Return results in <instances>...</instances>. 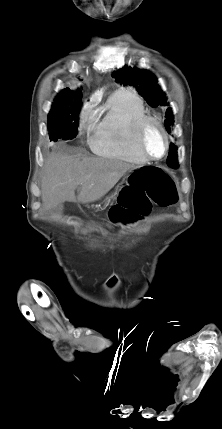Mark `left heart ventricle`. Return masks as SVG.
<instances>
[{"label":"left heart ventricle","instance_id":"left-heart-ventricle-1","mask_svg":"<svg viewBox=\"0 0 222 429\" xmlns=\"http://www.w3.org/2000/svg\"><path fill=\"white\" fill-rule=\"evenodd\" d=\"M145 149L154 157H160L165 150V140L159 128L150 123L146 127L143 137Z\"/></svg>","mask_w":222,"mask_h":429}]
</instances>
